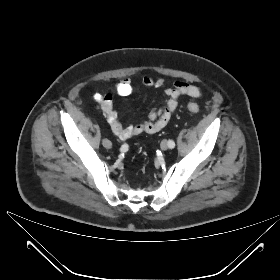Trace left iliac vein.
Segmentation results:
<instances>
[{"label": "left iliac vein", "mask_w": 280, "mask_h": 280, "mask_svg": "<svg viewBox=\"0 0 280 280\" xmlns=\"http://www.w3.org/2000/svg\"><path fill=\"white\" fill-rule=\"evenodd\" d=\"M160 147H161V149L162 150H167L168 148H169V146H168V141L167 140H163L162 142H161V144H160Z\"/></svg>", "instance_id": "obj_1"}]
</instances>
